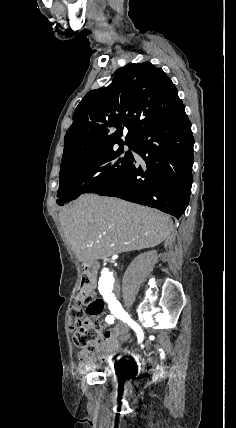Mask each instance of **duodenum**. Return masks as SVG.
Returning a JSON list of instances; mask_svg holds the SVG:
<instances>
[{"instance_id":"obj_1","label":"duodenum","mask_w":236,"mask_h":428,"mask_svg":"<svg viewBox=\"0 0 236 428\" xmlns=\"http://www.w3.org/2000/svg\"><path fill=\"white\" fill-rule=\"evenodd\" d=\"M83 271L85 276L89 279L90 284L94 285L96 279L97 265L93 262H86L83 264Z\"/></svg>"}]
</instances>
